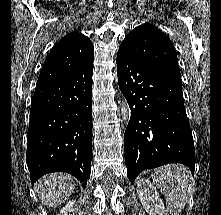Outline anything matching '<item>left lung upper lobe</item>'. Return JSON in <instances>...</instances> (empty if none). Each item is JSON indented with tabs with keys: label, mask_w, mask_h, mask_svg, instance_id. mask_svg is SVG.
Here are the masks:
<instances>
[{
	"label": "left lung upper lobe",
	"mask_w": 221,
	"mask_h": 215,
	"mask_svg": "<svg viewBox=\"0 0 221 215\" xmlns=\"http://www.w3.org/2000/svg\"><path fill=\"white\" fill-rule=\"evenodd\" d=\"M119 48L165 77L182 83L175 48L169 38L154 25L145 23L136 27Z\"/></svg>",
	"instance_id": "obj_1"
}]
</instances>
